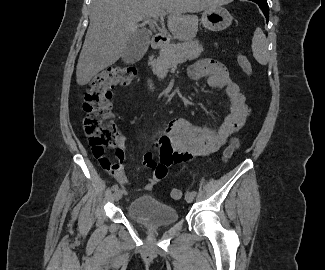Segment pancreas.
Listing matches in <instances>:
<instances>
[{
  "label": "pancreas",
  "instance_id": "pancreas-1",
  "mask_svg": "<svg viewBox=\"0 0 325 270\" xmlns=\"http://www.w3.org/2000/svg\"><path fill=\"white\" fill-rule=\"evenodd\" d=\"M202 51V45L196 40H185L178 44L172 43L160 50L159 57L152 64V70L159 79H164L170 68L186 60L198 58Z\"/></svg>",
  "mask_w": 325,
  "mask_h": 270
}]
</instances>
